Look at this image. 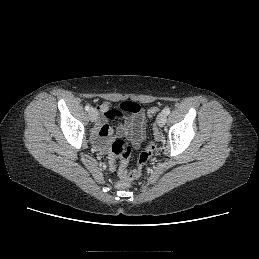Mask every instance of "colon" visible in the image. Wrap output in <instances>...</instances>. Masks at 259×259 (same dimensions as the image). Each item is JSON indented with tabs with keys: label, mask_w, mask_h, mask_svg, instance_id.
I'll use <instances>...</instances> for the list:
<instances>
[{
	"label": "colon",
	"mask_w": 259,
	"mask_h": 259,
	"mask_svg": "<svg viewBox=\"0 0 259 259\" xmlns=\"http://www.w3.org/2000/svg\"><path fill=\"white\" fill-rule=\"evenodd\" d=\"M118 108L126 112H137L139 105L134 102L126 101L119 104ZM158 113V109L153 107L148 110V116L154 117ZM155 145L148 143L144 150L141 152L138 158V167L133 171H128V158L130 155V147L123 140H116L112 145V157L110 159V165L112 168L116 167V157L120 158V180L116 182L118 189H127L130 187V180L139 178L142 175L144 167L148 164L155 153Z\"/></svg>",
	"instance_id": "colon-1"
}]
</instances>
